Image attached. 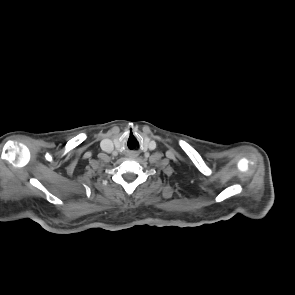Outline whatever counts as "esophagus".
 I'll list each match as a JSON object with an SVG mask.
<instances>
[{"mask_svg": "<svg viewBox=\"0 0 295 295\" xmlns=\"http://www.w3.org/2000/svg\"><path fill=\"white\" fill-rule=\"evenodd\" d=\"M130 156H131V157H136L137 154H136V153H132Z\"/></svg>", "mask_w": 295, "mask_h": 295, "instance_id": "obj_1", "label": "esophagus"}]
</instances>
